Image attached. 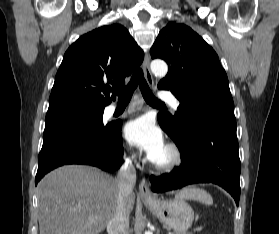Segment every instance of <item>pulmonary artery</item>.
<instances>
[{
    "mask_svg": "<svg viewBox=\"0 0 279 234\" xmlns=\"http://www.w3.org/2000/svg\"><path fill=\"white\" fill-rule=\"evenodd\" d=\"M160 98L162 100L167 101L171 105V107L175 110H177L180 107L179 100L172 94L161 92ZM115 111H116V106L114 105H111L107 108V113L109 115L113 114Z\"/></svg>",
    "mask_w": 279,
    "mask_h": 234,
    "instance_id": "obj_1",
    "label": "pulmonary artery"
}]
</instances>
